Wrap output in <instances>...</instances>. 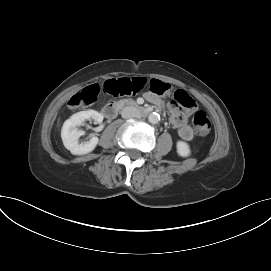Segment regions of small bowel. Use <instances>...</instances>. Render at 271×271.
I'll use <instances>...</instances> for the list:
<instances>
[{
	"instance_id": "c3829d8e",
	"label": "small bowel",
	"mask_w": 271,
	"mask_h": 271,
	"mask_svg": "<svg viewBox=\"0 0 271 271\" xmlns=\"http://www.w3.org/2000/svg\"><path fill=\"white\" fill-rule=\"evenodd\" d=\"M168 86L167 80H162L160 76H151L147 92L144 95L145 99L153 103H159L160 99L157 95H166ZM169 108L171 122L177 129L180 138L185 141L192 140L194 133L192 128L187 124L185 115L173 104H170Z\"/></svg>"
}]
</instances>
